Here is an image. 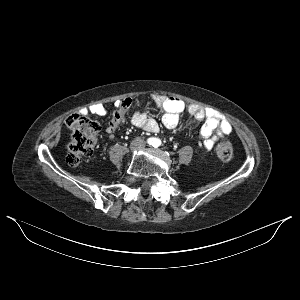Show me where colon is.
<instances>
[{
  "label": "colon",
  "mask_w": 300,
  "mask_h": 300,
  "mask_svg": "<svg viewBox=\"0 0 300 300\" xmlns=\"http://www.w3.org/2000/svg\"><path fill=\"white\" fill-rule=\"evenodd\" d=\"M131 98L121 101L118 109L114 112L110 128L115 129L124 120L126 111L133 105ZM66 125L71 130L67 144L66 160L70 166H78L84 157L92 154L97 139L98 124L81 114H72L67 117ZM217 154L222 160H230L233 156V147L229 142H222L217 147Z\"/></svg>",
  "instance_id": "1"
}]
</instances>
